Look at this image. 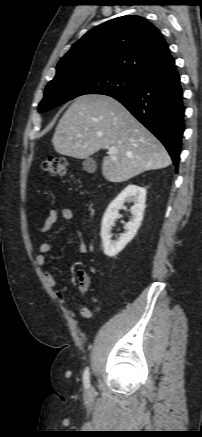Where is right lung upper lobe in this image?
<instances>
[{
    "mask_svg": "<svg viewBox=\"0 0 202 437\" xmlns=\"http://www.w3.org/2000/svg\"><path fill=\"white\" fill-rule=\"evenodd\" d=\"M173 62L158 28L143 17L128 15L83 35L61 58L55 77L72 71L115 72L143 80Z\"/></svg>",
    "mask_w": 202,
    "mask_h": 437,
    "instance_id": "right-lung-upper-lobe-1",
    "label": "right lung upper lobe"
}]
</instances>
